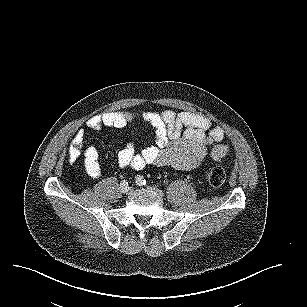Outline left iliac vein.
Returning <instances> with one entry per match:
<instances>
[{
  "label": "left iliac vein",
  "mask_w": 307,
  "mask_h": 307,
  "mask_svg": "<svg viewBox=\"0 0 307 307\" xmlns=\"http://www.w3.org/2000/svg\"><path fill=\"white\" fill-rule=\"evenodd\" d=\"M147 188L159 193L160 195L162 194V192L156 186H148Z\"/></svg>",
  "instance_id": "left-iliac-vein-1"
}]
</instances>
